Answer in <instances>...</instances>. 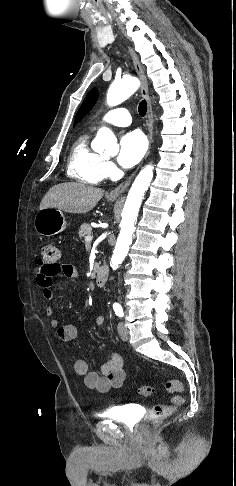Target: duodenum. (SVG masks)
Returning <instances> with one entry per match:
<instances>
[{
	"mask_svg": "<svg viewBox=\"0 0 236 486\" xmlns=\"http://www.w3.org/2000/svg\"><path fill=\"white\" fill-rule=\"evenodd\" d=\"M108 267L106 265H101L97 268L95 272V283L99 287L105 286L108 280Z\"/></svg>",
	"mask_w": 236,
	"mask_h": 486,
	"instance_id": "1",
	"label": "duodenum"
}]
</instances>
